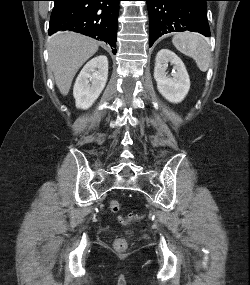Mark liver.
Masks as SVG:
<instances>
[{
	"label": "liver",
	"mask_w": 250,
	"mask_h": 285,
	"mask_svg": "<svg viewBox=\"0 0 250 285\" xmlns=\"http://www.w3.org/2000/svg\"><path fill=\"white\" fill-rule=\"evenodd\" d=\"M92 38L74 32H58L48 43V66L62 95H67L79 68L98 50Z\"/></svg>",
	"instance_id": "6515ba94"
}]
</instances>
